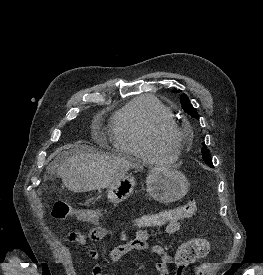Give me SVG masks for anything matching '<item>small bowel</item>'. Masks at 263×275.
Masks as SVG:
<instances>
[{"label":"small bowel","mask_w":263,"mask_h":275,"mask_svg":"<svg viewBox=\"0 0 263 275\" xmlns=\"http://www.w3.org/2000/svg\"><path fill=\"white\" fill-rule=\"evenodd\" d=\"M161 227L163 228L154 232L148 231L145 228H139L132 238H127L125 235H122V238L125 242L111 248L107 254L108 259L111 262L116 263L132 251L147 252L159 258V260L155 264V268L158 271L159 275H171L169 266L174 265V257L168 254L161 245L157 243H152V239L160 235L176 234L180 230V223L171 222ZM107 234L108 230L106 228L95 227L91 229L87 233V235L78 232H72L68 236V240L70 242L80 245L85 250V252L95 261V264L91 270V275L107 274L103 273V266L98 251L90 246L88 241L101 240ZM57 247L65 260L67 262H70V249L66 245L60 243H57ZM135 275L140 274L136 272Z\"/></svg>","instance_id":"small-bowel-1"}]
</instances>
